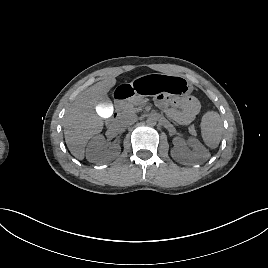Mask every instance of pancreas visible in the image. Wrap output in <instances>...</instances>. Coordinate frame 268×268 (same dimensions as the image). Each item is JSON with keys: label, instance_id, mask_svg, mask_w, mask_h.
<instances>
[{"label": "pancreas", "instance_id": "obj_1", "mask_svg": "<svg viewBox=\"0 0 268 268\" xmlns=\"http://www.w3.org/2000/svg\"><path fill=\"white\" fill-rule=\"evenodd\" d=\"M146 99L142 96H134L128 100L121 101L118 104V110L121 111L122 114H127L131 112H139L146 104ZM190 131L193 130V127L189 128Z\"/></svg>", "mask_w": 268, "mask_h": 268}]
</instances>
